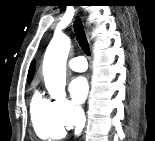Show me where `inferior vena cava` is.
<instances>
[{
	"mask_svg": "<svg viewBox=\"0 0 155 141\" xmlns=\"http://www.w3.org/2000/svg\"><path fill=\"white\" fill-rule=\"evenodd\" d=\"M84 124H85V115L83 112H81L80 116H79L78 123L76 125V129H75L76 134H79L81 132V130L84 127Z\"/></svg>",
	"mask_w": 155,
	"mask_h": 141,
	"instance_id": "obj_1",
	"label": "inferior vena cava"
}]
</instances>
